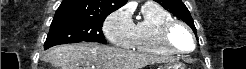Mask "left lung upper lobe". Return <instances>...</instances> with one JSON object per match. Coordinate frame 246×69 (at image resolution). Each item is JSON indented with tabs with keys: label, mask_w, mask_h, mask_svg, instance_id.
<instances>
[{
	"label": "left lung upper lobe",
	"mask_w": 246,
	"mask_h": 69,
	"mask_svg": "<svg viewBox=\"0 0 246 69\" xmlns=\"http://www.w3.org/2000/svg\"><path fill=\"white\" fill-rule=\"evenodd\" d=\"M162 7H164L169 12L173 13L175 16L187 23L197 36L196 28L193 19L188 11L187 7L181 0H155Z\"/></svg>",
	"instance_id": "1"
}]
</instances>
